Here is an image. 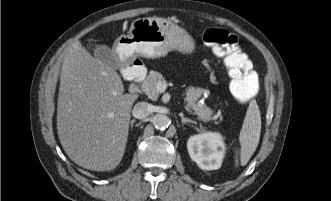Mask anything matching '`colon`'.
I'll list each match as a JSON object with an SVG mask.
<instances>
[{"mask_svg":"<svg viewBox=\"0 0 331 201\" xmlns=\"http://www.w3.org/2000/svg\"><path fill=\"white\" fill-rule=\"evenodd\" d=\"M203 39L223 59L234 97L244 104L251 102L259 91L258 77L252 71L249 58L241 50L237 37L225 29L210 28L205 31Z\"/></svg>","mask_w":331,"mask_h":201,"instance_id":"5ec220e1","label":"colon"}]
</instances>
